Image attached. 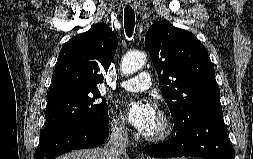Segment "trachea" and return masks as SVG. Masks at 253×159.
<instances>
[{"label":"trachea","instance_id":"obj_1","mask_svg":"<svg viewBox=\"0 0 253 159\" xmlns=\"http://www.w3.org/2000/svg\"><path fill=\"white\" fill-rule=\"evenodd\" d=\"M135 13L131 6L127 5L124 9V27L128 37H131L134 31Z\"/></svg>","mask_w":253,"mask_h":159}]
</instances>
